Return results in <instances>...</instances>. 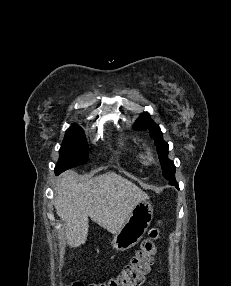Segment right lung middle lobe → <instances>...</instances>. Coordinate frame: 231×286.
Here are the masks:
<instances>
[{"label":"right lung middle lobe","instance_id":"dd1d6c3e","mask_svg":"<svg viewBox=\"0 0 231 286\" xmlns=\"http://www.w3.org/2000/svg\"><path fill=\"white\" fill-rule=\"evenodd\" d=\"M88 144L82 129L72 125L65 134V138L59 151V161L55 167L58 175L66 169L84 164L88 161Z\"/></svg>","mask_w":231,"mask_h":286}]
</instances>
